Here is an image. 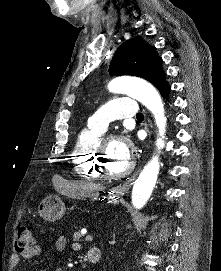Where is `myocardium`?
Listing matches in <instances>:
<instances>
[{
  "label": "myocardium",
  "instance_id": "obj_1",
  "mask_svg": "<svg viewBox=\"0 0 221 271\" xmlns=\"http://www.w3.org/2000/svg\"><path fill=\"white\" fill-rule=\"evenodd\" d=\"M115 142H125V137H115ZM99 150H108V145H99ZM105 159L99 158L98 159V172L101 173V178H108V179H127V175L130 174V172H135V170L138 169V166L136 164V158H129V161H127V166L125 170H120L119 173H111L110 170L105 166Z\"/></svg>",
  "mask_w": 221,
  "mask_h": 271
}]
</instances>
